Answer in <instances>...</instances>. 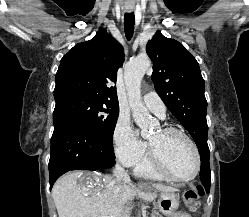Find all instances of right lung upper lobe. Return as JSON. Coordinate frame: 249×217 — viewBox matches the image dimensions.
<instances>
[{
    "label": "right lung upper lobe",
    "instance_id": "1",
    "mask_svg": "<svg viewBox=\"0 0 249 217\" xmlns=\"http://www.w3.org/2000/svg\"><path fill=\"white\" fill-rule=\"evenodd\" d=\"M123 60V47L104 29L99 30L93 39L75 45L63 56L54 96L75 92L118 104L116 87L109 84L116 83Z\"/></svg>",
    "mask_w": 249,
    "mask_h": 217
}]
</instances>
